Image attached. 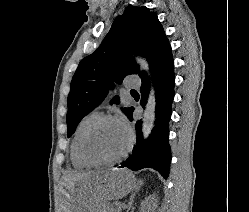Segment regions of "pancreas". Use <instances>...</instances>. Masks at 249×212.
<instances>
[{
    "mask_svg": "<svg viewBox=\"0 0 249 212\" xmlns=\"http://www.w3.org/2000/svg\"><path fill=\"white\" fill-rule=\"evenodd\" d=\"M112 210H114V212H117V210H115L114 206H112V204H103V206H101L99 212H112Z\"/></svg>",
    "mask_w": 249,
    "mask_h": 212,
    "instance_id": "1",
    "label": "pancreas"
}]
</instances>
